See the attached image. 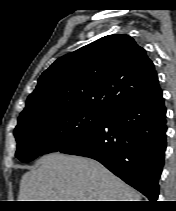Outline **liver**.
<instances>
[{
    "label": "liver",
    "instance_id": "1",
    "mask_svg": "<svg viewBox=\"0 0 176 211\" xmlns=\"http://www.w3.org/2000/svg\"><path fill=\"white\" fill-rule=\"evenodd\" d=\"M20 181L18 201H140V194L96 160L42 156Z\"/></svg>",
    "mask_w": 176,
    "mask_h": 211
}]
</instances>
